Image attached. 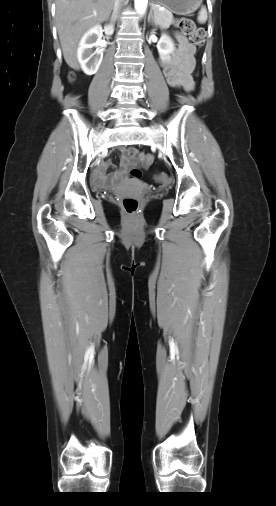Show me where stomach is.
Masks as SVG:
<instances>
[{
  "mask_svg": "<svg viewBox=\"0 0 276 506\" xmlns=\"http://www.w3.org/2000/svg\"><path fill=\"white\" fill-rule=\"evenodd\" d=\"M152 2L175 14L188 15L199 8L202 0H152Z\"/></svg>",
  "mask_w": 276,
  "mask_h": 506,
  "instance_id": "0dacf381",
  "label": "stomach"
}]
</instances>
